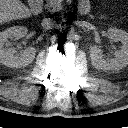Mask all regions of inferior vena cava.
<instances>
[{"instance_id":"obj_1","label":"inferior vena cava","mask_w":128,"mask_h":128,"mask_svg":"<svg viewBox=\"0 0 128 128\" xmlns=\"http://www.w3.org/2000/svg\"><path fill=\"white\" fill-rule=\"evenodd\" d=\"M53 24V20L50 18H44L42 21L43 27H50Z\"/></svg>"}]
</instances>
